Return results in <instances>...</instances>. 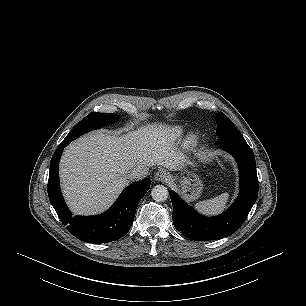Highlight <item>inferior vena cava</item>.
Returning a JSON list of instances; mask_svg holds the SVG:
<instances>
[{"label": "inferior vena cava", "instance_id": "obj_1", "mask_svg": "<svg viewBox=\"0 0 306 306\" xmlns=\"http://www.w3.org/2000/svg\"><path fill=\"white\" fill-rule=\"evenodd\" d=\"M148 174V168L143 166H138L133 168L129 174L128 177L130 180H140L143 179Z\"/></svg>", "mask_w": 306, "mask_h": 306}]
</instances>
